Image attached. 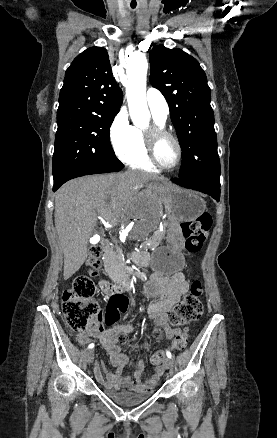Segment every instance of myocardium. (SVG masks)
Instances as JSON below:
<instances>
[{
  "instance_id": "f54148a6",
  "label": "myocardium",
  "mask_w": 277,
  "mask_h": 438,
  "mask_svg": "<svg viewBox=\"0 0 277 438\" xmlns=\"http://www.w3.org/2000/svg\"><path fill=\"white\" fill-rule=\"evenodd\" d=\"M163 138L171 139L177 148L176 161L172 166H165L158 157V146ZM144 143L151 162L158 168L166 171L175 169L181 162L183 149L180 140L172 132L160 124H152L144 132Z\"/></svg>"
}]
</instances>
